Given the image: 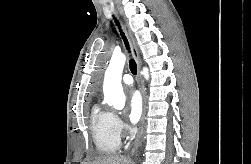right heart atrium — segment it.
I'll use <instances>...</instances> for the list:
<instances>
[{
    "instance_id": "obj_1",
    "label": "right heart atrium",
    "mask_w": 251,
    "mask_h": 164,
    "mask_svg": "<svg viewBox=\"0 0 251 164\" xmlns=\"http://www.w3.org/2000/svg\"><path fill=\"white\" fill-rule=\"evenodd\" d=\"M114 126H115V130L118 133L119 136H121L122 134H124L126 127L124 122L117 116H114Z\"/></svg>"
}]
</instances>
